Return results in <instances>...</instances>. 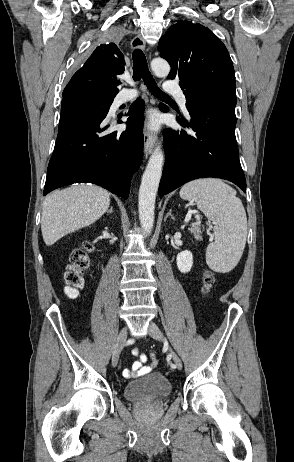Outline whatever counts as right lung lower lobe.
Returning <instances> with one entry per match:
<instances>
[{
	"mask_svg": "<svg viewBox=\"0 0 294 462\" xmlns=\"http://www.w3.org/2000/svg\"><path fill=\"white\" fill-rule=\"evenodd\" d=\"M144 101H135L123 132H108L106 112L60 120L43 195L73 183H95L124 199L143 155Z\"/></svg>",
	"mask_w": 294,
	"mask_h": 462,
	"instance_id": "obj_1",
	"label": "right lung lower lobe"
}]
</instances>
